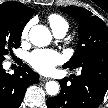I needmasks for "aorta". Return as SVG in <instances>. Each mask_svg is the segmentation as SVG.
<instances>
[{"instance_id":"1","label":"aorta","mask_w":108,"mask_h":108,"mask_svg":"<svg viewBox=\"0 0 108 108\" xmlns=\"http://www.w3.org/2000/svg\"><path fill=\"white\" fill-rule=\"evenodd\" d=\"M29 39L34 46L44 47L47 46L52 39L49 29L44 25H35L30 29ZM46 92L55 96L59 93L60 86L56 81H49L45 85Z\"/></svg>"}]
</instances>
